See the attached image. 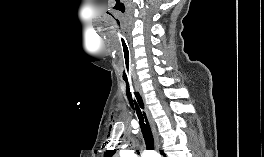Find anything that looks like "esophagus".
<instances>
[{"label": "esophagus", "mask_w": 264, "mask_h": 157, "mask_svg": "<svg viewBox=\"0 0 264 157\" xmlns=\"http://www.w3.org/2000/svg\"><path fill=\"white\" fill-rule=\"evenodd\" d=\"M136 90H137V91L140 93V95L142 96V99H143V102H144V106H145V112H146V114H147V116H148V118H149V121H150V123H151L152 129H153V133H154V137H155V142H156V145H157V144H158V138H157V134H156L155 126H154V124H153V122H152V119H151V117H150L149 110H148L147 105H146V103H145L144 95H143L141 89H139L138 87H136Z\"/></svg>", "instance_id": "34e87169"}]
</instances>
